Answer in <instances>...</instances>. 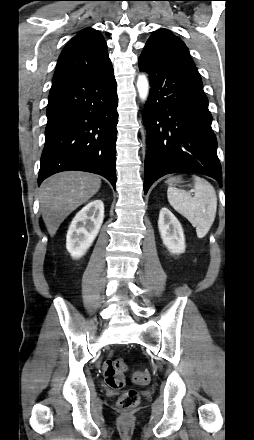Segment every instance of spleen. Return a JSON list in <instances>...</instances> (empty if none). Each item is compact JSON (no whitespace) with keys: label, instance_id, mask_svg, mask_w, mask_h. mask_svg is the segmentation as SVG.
Segmentation results:
<instances>
[{"label":"spleen","instance_id":"1","mask_svg":"<svg viewBox=\"0 0 254 440\" xmlns=\"http://www.w3.org/2000/svg\"><path fill=\"white\" fill-rule=\"evenodd\" d=\"M194 196L190 193L168 187L170 205L196 228L197 237L203 238L210 230L217 210V196L214 187L204 178L193 176Z\"/></svg>","mask_w":254,"mask_h":440}]
</instances>
